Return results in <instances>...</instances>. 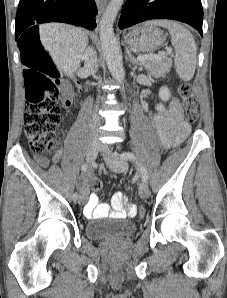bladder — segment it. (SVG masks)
Instances as JSON below:
<instances>
[{
	"instance_id": "obj_1",
	"label": "bladder",
	"mask_w": 227,
	"mask_h": 298,
	"mask_svg": "<svg viewBox=\"0 0 227 298\" xmlns=\"http://www.w3.org/2000/svg\"><path fill=\"white\" fill-rule=\"evenodd\" d=\"M136 229V224L132 221L105 218L88 222L85 235L90 240H114L131 236Z\"/></svg>"
}]
</instances>
